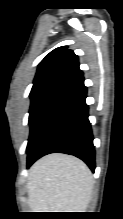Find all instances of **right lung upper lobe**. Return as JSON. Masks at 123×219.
Wrapping results in <instances>:
<instances>
[{
    "label": "right lung upper lobe",
    "instance_id": "right-lung-upper-lobe-1",
    "mask_svg": "<svg viewBox=\"0 0 123 219\" xmlns=\"http://www.w3.org/2000/svg\"><path fill=\"white\" fill-rule=\"evenodd\" d=\"M81 75L78 56L66 46L58 47L40 62L32 89L53 81L72 82Z\"/></svg>",
    "mask_w": 123,
    "mask_h": 219
}]
</instances>
